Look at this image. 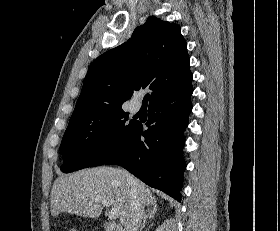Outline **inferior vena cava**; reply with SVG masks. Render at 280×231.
Returning <instances> with one entry per match:
<instances>
[{"mask_svg": "<svg viewBox=\"0 0 280 231\" xmlns=\"http://www.w3.org/2000/svg\"><path fill=\"white\" fill-rule=\"evenodd\" d=\"M124 173H126L131 201L130 215L127 221H125L124 231H138L144 215V201L139 195L140 185L138 179H134L128 171H124Z\"/></svg>", "mask_w": 280, "mask_h": 231, "instance_id": "1", "label": "inferior vena cava"}]
</instances>
